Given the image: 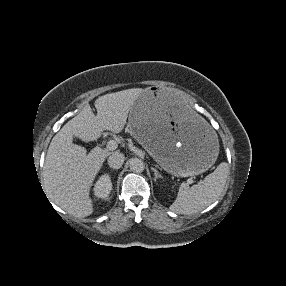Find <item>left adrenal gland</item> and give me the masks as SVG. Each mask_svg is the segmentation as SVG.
Returning <instances> with one entry per match:
<instances>
[{
    "instance_id": "left-adrenal-gland-1",
    "label": "left adrenal gland",
    "mask_w": 286,
    "mask_h": 286,
    "mask_svg": "<svg viewBox=\"0 0 286 286\" xmlns=\"http://www.w3.org/2000/svg\"><path fill=\"white\" fill-rule=\"evenodd\" d=\"M152 170L154 171V175H155L154 181H156L158 178L160 179L163 178L155 168H152Z\"/></svg>"
}]
</instances>
